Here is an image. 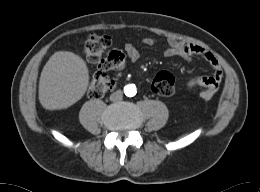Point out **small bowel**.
<instances>
[{"label":"small bowel","mask_w":260,"mask_h":192,"mask_svg":"<svg viewBox=\"0 0 260 192\" xmlns=\"http://www.w3.org/2000/svg\"><path fill=\"white\" fill-rule=\"evenodd\" d=\"M142 42L146 46H154L157 41L155 38L145 37ZM124 50L131 62L139 60L140 51L135 45L127 43ZM163 54L168 58L180 57L186 61H191L194 57L204 59L212 67L213 73L207 77L193 78L188 82L187 86L189 89L200 87L199 96L205 100L210 99L218 91L224 75L221 64L211 52L199 45L169 38L166 41Z\"/></svg>","instance_id":"small-bowel-1"}]
</instances>
